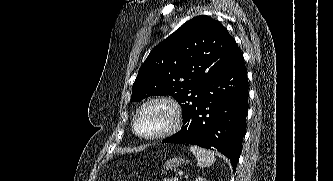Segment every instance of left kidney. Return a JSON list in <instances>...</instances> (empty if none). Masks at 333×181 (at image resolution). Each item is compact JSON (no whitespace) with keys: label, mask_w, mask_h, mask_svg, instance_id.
Returning <instances> with one entry per match:
<instances>
[{"label":"left kidney","mask_w":333,"mask_h":181,"mask_svg":"<svg viewBox=\"0 0 333 181\" xmlns=\"http://www.w3.org/2000/svg\"><path fill=\"white\" fill-rule=\"evenodd\" d=\"M194 181H207L205 177L203 176H199L198 178H196Z\"/></svg>","instance_id":"obj_1"}]
</instances>
